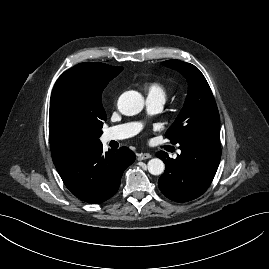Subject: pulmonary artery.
Here are the masks:
<instances>
[{
    "label": "pulmonary artery",
    "instance_id": "obj_1",
    "mask_svg": "<svg viewBox=\"0 0 269 269\" xmlns=\"http://www.w3.org/2000/svg\"><path fill=\"white\" fill-rule=\"evenodd\" d=\"M165 102V98L162 96H148L147 104L149 108L156 112L159 111ZM140 130V124L138 123H125L117 126H113L104 131L102 139L104 142L112 140H122L134 136Z\"/></svg>",
    "mask_w": 269,
    "mask_h": 269
}]
</instances>
